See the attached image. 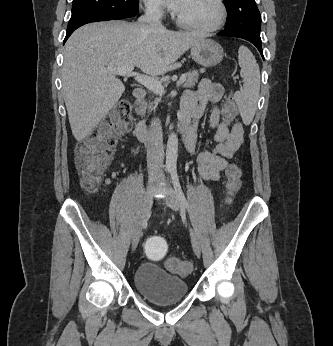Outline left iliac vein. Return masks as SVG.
<instances>
[{"label": "left iliac vein", "instance_id": "4c4485c4", "mask_svg": "<svg viewBox=\"0 0 333 346\" xmlns=\"http://www.w3.org/2000/svg\"><path fill=\"white\" fill-rule=\"evenodd\" d=\"M163 180L167 181V192H166V196L164 197V202L166 205H168L170 208H172L174 211H179L180 209V203H179V199L177 197L176 192L170 187L167 178L162 174L161 175ZM190 237H191V243H192V247L193 250L195 252V254L200 257L201 255V243L199 240L198 235L195 233V231L193 229H190Z\"/></svg>", "mask_w": 333, "mask_h": 346}]
</instances>
